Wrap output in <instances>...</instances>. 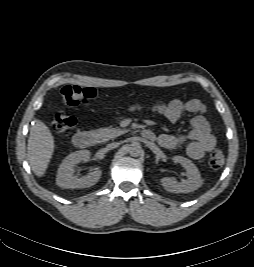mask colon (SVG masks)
Here are the masks:
<instances>
[{"mask_svg":"<svg viewBox=\"0 0 254 267\" xmlns=\"http://www.w3.org/2000/svg\"><path fill=\"white\" fill-rule=\"evenodd\" d=\"M97 92L93 88H82L75 85H68L62 88L61 98L67 107H76L80 104H86L94 100ZM152 109L156 112H163L166 109L165 105L155 104ZM76 125V119L64 112H57L53 116L51 129L54 133H63ZM225 158L221 151L215 150L209 156V166L212 169H220L224 164Z\"/></svg>","mask_w":254,"mask_h":267,"instance_id":"1","label":"colon"}]
</instances>
